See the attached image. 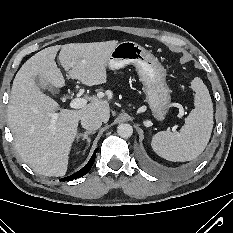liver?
<instances>
[{
    "label": "liver",
    "mask_w": 233,
    "mask_h": 233,
    "mask_svg": "<svg viewBox=\"0 0 233 233\" xmlns=\"http://www.w3.org/2000/svg\"><path fill=\"white\" fill-rule=\"evenodd\" d=\"M117 41L70 43L45 48L28 59L17 72L7 107V120L19 156L34 172L44 176H64L69 154L77 136L78 124L88 113L103 122L110 118L107 100L94 98L79 110L61 109L56 101L44 94L35 77L60 88L64 77L55 57L72 79L87 86L107 82V62ZM60 110L53 125L51 115Z\"/></svg>",
    "instance_id": "6515ba94"
}]
</instances>
